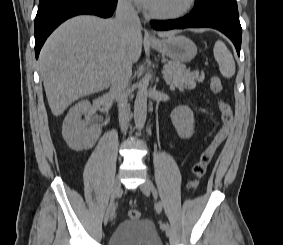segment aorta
<instances>
[{"label":"aorta","mask_w":283,"mask_h":245,"mask_svg":"<svg viewBox=\"0 0 283 245\" xmlns=\"http://www.w3.org/2000/svg\"><path fill=\"white\" fill-rule=\"evenodd\" d=\"M147 84L141 81L138 85V91L134 103V122L138 130H141L147 116Z\"/></svg>","instance_id":"aorta-1"}]
</instances>
